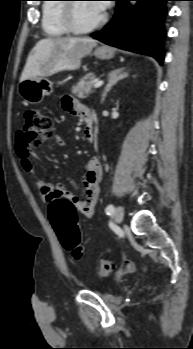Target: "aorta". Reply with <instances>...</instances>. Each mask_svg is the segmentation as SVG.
<instances>
[{
	"instance_id": "762f6f07",
	"label": "aorta",
	"mask_w": 193,
	"mask_h": 349,
	"mask_svg": "<svg viewBox=\"0 0 193 349\" xmlns=\"http://www.w3.org/2000/svg\"><path fill=\"white\" fill-rule=\"evenodd\" d=\"M133 5L135 4V2H131Z\"/></svg>"
}]
</instances>
